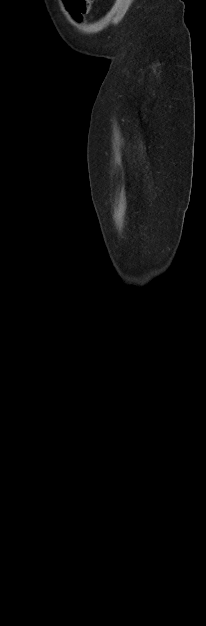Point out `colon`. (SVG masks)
Returning a JSON list of instances; mask_svg holds the SVG:
<instances>
[{
	"instance_id": "colon-1",
	"label": "colon",
	"mask_w": 206,
	"mask_h": 626,
	"mask_svg": "<svg viewBox=\"0 0 206 626\" xmlns=\"http://www.w3.org/2000/svg\"><path fill=\"white\" fill-rule=\"evenodd\" d=\"M93 0H64V4L72 16L81 20L89 11Z\"/></svg>"
}]
</instances>
